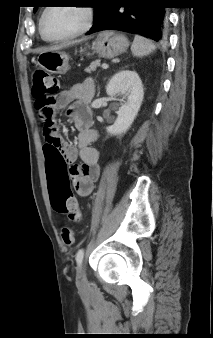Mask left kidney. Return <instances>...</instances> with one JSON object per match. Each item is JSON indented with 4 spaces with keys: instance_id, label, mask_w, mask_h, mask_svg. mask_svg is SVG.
Listing matches in <instances>:
<instances>
[{
    "instance_id": "1",
    "label": "left kidney",
    "mask_w": 213,
    "mask_h": 338,
    "mask_svg": "<svg viewBox=\"0 0 213 338\" xmlns=\"http://www.w3.org/2000/svg\"><path fill=\"white\" fill-rule=\"evenodd\" d=\"M106 93L111 97L125 95L127 98L119 108L114 124L106 128L111 135L125 134L133 124L144 98L142 81L135 71L123 69L110 79Z\"/></svg>"
}]
</instances>
